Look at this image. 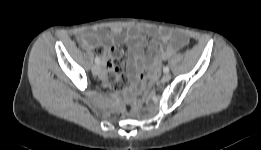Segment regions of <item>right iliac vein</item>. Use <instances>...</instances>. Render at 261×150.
<instances>
[{
	"instance_id": "1",
	"label": "right iliac vein",
	"mask_w": 261,
	"mask_h": 150,
	"mask_svg": "<svg viewBox=\"0 0 261 150\" xmlns=\"http://www.w3.org/2000/svg\"><path fill=\"white\" fill-rule=\"evenodd\" d=\"M92 73L94 75H99L101 73V67L98 64L94 65L92 67Z\"/></svg>"
}]
</instances>
